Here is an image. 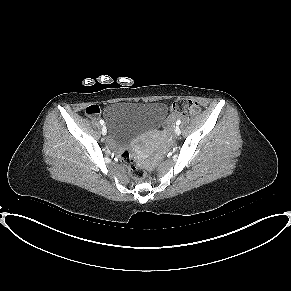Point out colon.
<instances>
[{
  "label": "colon",
  "instance_id": "5ec220e1",
  "mask_svg": "<svg viewBox=\"0 0 291 291\" xmlns=\"http://www.w3.org/2000/svg\"><path fill=\"white\" fill-rule=\"evenodd\" d=\"M170 109L176 115H195L199 112L198 104L190 99H178L172 103ZM99 112V107L95 105H91L85 110V113L92 117L97 116ZM121 160L127 166L128 172L133 179H142L143 171L136 166L135 160L129 151L122 152Z\"/></svg>",
  "mask_w": 291,
  "mask_h": 291
}]
</instances>
